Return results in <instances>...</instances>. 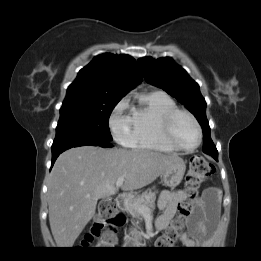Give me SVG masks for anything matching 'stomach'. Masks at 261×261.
I'll list each match as a JSON object with an SVG mask.
<instances>
[{"label":"stomach","instance_id":"0dacf381","mask_svg":"<svg viewBox=\"0 0 261 261\" xmlns=\"http://www.w3.org/2000/svg\"><path fill=\"white\" fill-rule=\"evenodd\" d=\"M186 170L183 159L178 158L172 166L162 174L164 185L174 188L180 184Z\"/></svg>","mask_w":261,"mask_h":261}]
</instances>
